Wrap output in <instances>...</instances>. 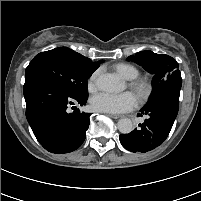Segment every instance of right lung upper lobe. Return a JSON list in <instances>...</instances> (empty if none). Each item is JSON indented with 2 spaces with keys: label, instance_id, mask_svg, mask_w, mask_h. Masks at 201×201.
Listing matches in <instances>:
<instances>
[{
  "label": "right lung upper lobe",
  "instance_id": "1",
  "mask_svg": "<svg viewBox=\"0 0 201 201\" xmlns=\"http://www.w3.org/2000/svg\"><path fill=\"white\" fill-rule=\"evenodd\" d=\"M67 54L69 59L78 67L90 71V72H94L100 65L101 62H103V60H100L98 62H92L89 58L84 57L83 55L67 48Z\"/></svg>",
  "mask_w": 201,
  "mask_h": 201
}]
</instances>
